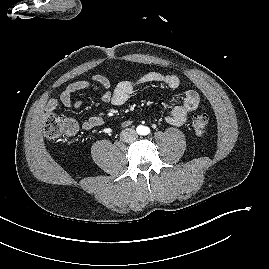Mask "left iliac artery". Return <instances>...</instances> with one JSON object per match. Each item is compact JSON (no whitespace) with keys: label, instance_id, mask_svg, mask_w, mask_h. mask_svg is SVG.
Instances as JSON below:
<instances>
[{"label":"left iliac artery","instance_id":"44dca946","mask_svg":"<svg viewBox=\"0 0 269 269\" xmlns=\"http://www.w3.org/2000/svg\"><path fill=\"white\" fill-rule=\"evenodd\" d=\"M150 132V129L149 128H145V134H148Z\"/></svg>","mask_w":269,"mask_h":269}]
</instances>
